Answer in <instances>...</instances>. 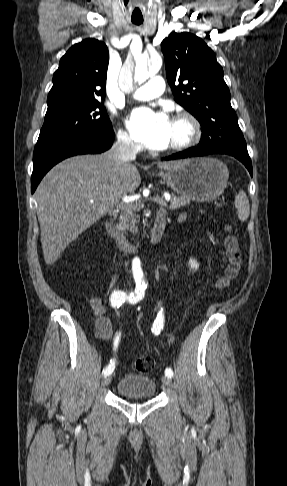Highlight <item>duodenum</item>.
I'll list each match as a JSON object with an SVG mask.
<instances>
[{"mask_svg":"<svg viewBox=\"0 0 287 486\" xmlns=\"http://www.w3.org/2000/svg\"><path fill=\"white\" fill-rule=\"evenodd\" d=\"M166 219L162 214H158L154 221V226L151 234V242L157 243L163 237L165 231ZM107 232L116 241L118 247L124 252H135L137 247L131 243L124 233L119 230L111 220L105 223Z\"/></svg>","mask_w":287,"mask_h":486,"instance_id":"duodenum-1","label":"duodenum"}]
</instances>
